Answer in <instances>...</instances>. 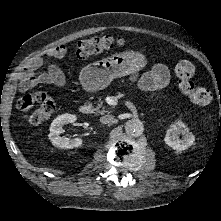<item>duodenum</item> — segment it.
Listing matches in <instances>:
<instances>
[{"instance_id": "410a0bca", "label": "duodenum", "mask_w": 221, "mask_h": 221, "mask_svg": "<svg viewBox=\"0 0 221 221\" xmlns=\"http://www.w3.org/2000/svg\"><path fill=\"white\" fill-rule=\"evenodd\" d=\"M90 111H91V108H90L88 105H81V106L79 107V112H80L81 114H89Z\"/></svg>"}]
</instances>
